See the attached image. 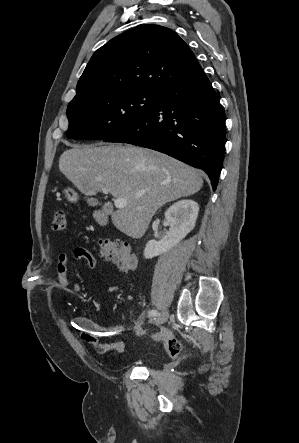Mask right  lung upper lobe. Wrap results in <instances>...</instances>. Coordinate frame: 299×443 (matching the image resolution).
I'll list each match as a JSON object with an SVG mask.
<instances>
[{"label":"right lung upper lobe","instance_id":"1","mask_svg":"<svg viewBox=\"0 0 299 443\" xmlns=\"http://www.w3.org/2000/svg\"><path fill=\"white\" fill-rule=\"evenodd\" d=\"M200 71L194 53L174 31L159 25H140L111 39L93 54L70 103L118 90L159 92Z\"/></svg>","mask_w":299,"mask_h":443}]
</instances>
